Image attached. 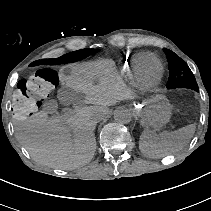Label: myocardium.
Masks as SVG:
<instances>
[{
    "instance_id": "f54148a6",
    "label": "myocardium",
    "mask_w": 211,
    "mask_h": 211,
    "mask_svg": "<svg viewBox=\"0 0 211 211\" xmlns=\"http://www.w3.org/2000/svg\"><path fill=\"white\" fill-rule=\"evenodd\" d=\"M157 84V79L153 77H147L145 80L142 82V87L144 89H151Z\"/></svg>"
}]
</instances>
